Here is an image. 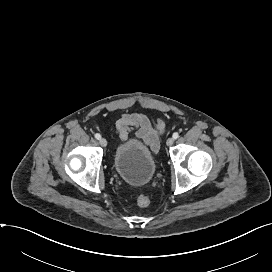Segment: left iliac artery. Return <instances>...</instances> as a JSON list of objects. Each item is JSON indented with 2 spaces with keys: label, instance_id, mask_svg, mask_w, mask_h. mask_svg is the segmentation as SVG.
<instances>
[{
  "label": "left iliac artery",
  "instance_id": "1",
  "mask_svg": "<svg viewBox=\"0 0 272 272\" xmlns=\"http://www.w3.org/2000/svg\"><path fill=\"white\" fill-rule=\"evenodd\" d=\"M178 137H179V134H178L177 132H174V133H173V138H174V139H177Z\"/></svg>",
  "mask_w": 272,
  "mask_h": 272
}]
</instances>
